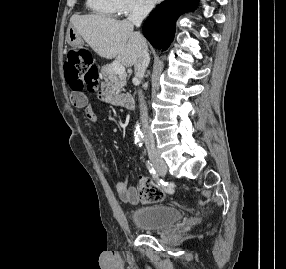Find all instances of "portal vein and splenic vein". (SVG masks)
Wrapping results in <instances>:
<instances>
[{
  "label": "portal vein and splenic vein",
  "mask_w": 286,
  "mask_h": 269,
  "mask_svg": "<svg viewBox=\"0 0 286 269\" xmlns=\"http://www.w3.org/2000/svg\"><path fill=\"white\" fill-rule=\"evenodd\" d=\"M113 69L116 73L125 74V67L119 61L113 62Z\"/></svg>",
  "instance_id": "18ae733b"
}]
</instances>
